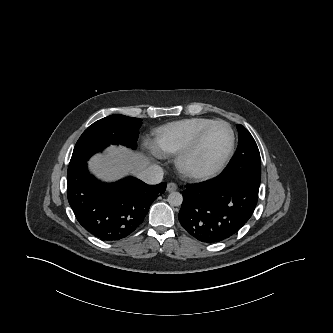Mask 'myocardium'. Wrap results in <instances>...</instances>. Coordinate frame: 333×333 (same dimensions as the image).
I'll use <instances>...</instances> for the list:
<instances>
[{
	"instance_id": "myocardium-1",
	"label": "myocardium",
	"mask_w": 333,
	"mask_h": 333,
	"mask_svg": "<svg viewBox=\"0 0 333 333\" xmlns=\"http://www.w3.org/2000/svg\"><path fill=\"white\" fill-rule=\"evenodd\" d=\"M218 124L224 125L230 133V145L225 156L219 162L218 165H216L214 168L210 170L200 171L193 168L190 164L191 158L200 148L205 136L210 131V129ZM235 142H236L235 133L230 124L224 120H214L198 133V135L195 137V139L188 147H186L183 151L179 153V155L176 158V165L184 175L190 178L199 179V180H207L213 178L217 176L220 172H222V170L226 167V165L230 161L234 153Z\"/></svg>"
}]
</instances>
